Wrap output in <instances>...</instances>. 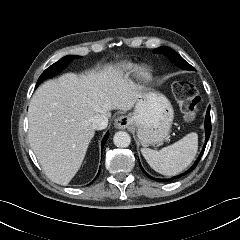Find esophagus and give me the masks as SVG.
<instances>
[{
	"instance_id": "34e87169",
	"label": "esophagus",
	"mask_w": 240,
	"mask_h": 240,
	"mask_svg": "<svg viewBox=\"0 0 240 240\" xmlns=\"http://www.w3.org/2000/svg\"><path fill=\"white\" fill-rule=\"evenodd\" d=\"M132 124V119L129 116L122 115L115 120V127L118 129H126Z\"/></svg>"
}]
</instances>
